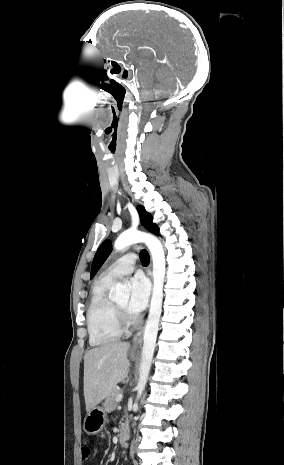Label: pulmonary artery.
I'll list each match as a JSON object with an SVG mask.
<instances>
[{"mask_svg": "<svg viewBox=\"0 0 284 465\" xmlns=\"http://www.w3.org/2000/svg\"><path fill=\"white\" fill-rule=\"evenodd\" d=\"M136 255L122 254L121 258L102 273V279L113 282L131 274L135 269Z\"/></svg>", "mask_w": 284, "mask_h": 465, "instance_id": "pulmonary-artery-1", "label": "pulmonary artery"}]
</instances>
